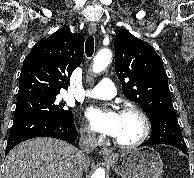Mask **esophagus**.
Segmentation results:
<instances>
[{"mask_svg": "<svg viewBox=\"0 0 194 178\" xmlns=\"http://www.w3.org/2000/svg\"><path fill=\"white\" fill-rule=\"evenodd\" d=\"M96 29H97L96 23L91 22L88 28L89 34H94L96 32ZM99 153L105 159L114 158L113 152L108 148H102Z\"/></svg>", "mask_w": 194, "mask_h": 178, "instance_id": "esophagus-1", "label": "esophagus"}]
</instances>
